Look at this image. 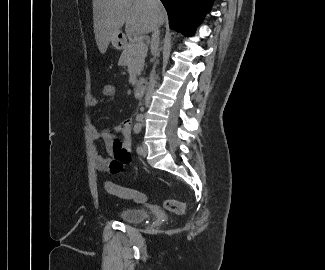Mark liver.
<instances>
[{"label": "liver", "instance_id": "liver-1", "mask_svg": "<svg viewBox=\"0 0 325 270\" xmlns=\"http://www.w3.org/2000/svg\"><path fill=\"white\" fill-rule=\"evenodd\" d=\"M162 4L149 0H93V27L99 51L104 54L125 24L127 36L148 34L165 21Z\"/></svg>", "mask_w": 325, "mask_h": 270}]
</instances>
